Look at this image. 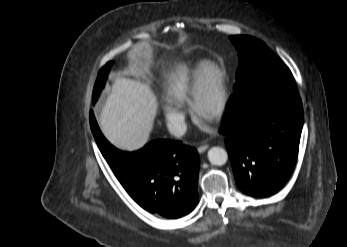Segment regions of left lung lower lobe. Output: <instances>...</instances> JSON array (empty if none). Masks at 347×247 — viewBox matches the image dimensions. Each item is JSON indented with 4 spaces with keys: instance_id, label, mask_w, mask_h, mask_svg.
I'll use <instances>...</instances> for the list:
<instances>
[{
    "instance_id": "1",
    "label": "left lung lower lobe",
    "mask_w": 347,
    "mask_h": 247,
    "mask_svg": "<svg viewBox=\"0 0 347 247\" xmlns=\"http://www.w3.org/2000/svg\"><path fill=\"white\" fill-rule=\"evenodd\" d=\"M302 126V102L284 64L255 74L234 92L220 132L241 191L266 197L285 185L297 161Z\"/></svg>"
}]
</instances>
